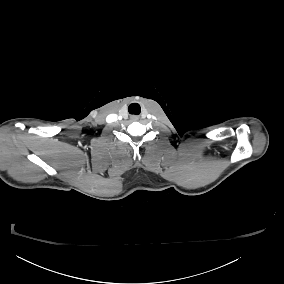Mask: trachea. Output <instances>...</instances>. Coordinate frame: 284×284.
Instances as JSON below:
<instances>
[{
  "label": "trachea",
  "instance_id": "1",
  "mask_svg": "<svg viewBox=\"0 0 284 284\" xmlns=\"http://www.w3.org/2000/svg\"><path fill=\"white\" fill-rule=\"evenodd\" d=\"M129 110H132L134 114H139L140 113V106L137 103H133L129 106Z\"/></svg>",
  "mask_w": 284,
  "mask_h": 284
}]
</instances>
